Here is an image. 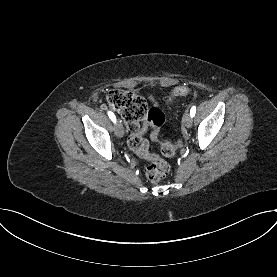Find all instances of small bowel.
Wrapping results in <instances>:
<instances>
[{
  "mask_svg": "<svg viewBox=\"0 0 277 277\" xmlns=\"http://www.w3.org/2000/svg\"><path fill=\"white\" fill-rule=\"evenodd\" d=\"M149 99H150V101L153 103V105L155 106L154 108H158V107H157V102H156V100H155L152 96H149ZM149 127H150V126H149L147 123H144V124L141 126L140 130H141L142 133H144V132L147 131V129H148Z\"/></svg>",
  "mask_w": 277,
  "mask_h": 277,
  "instance_id": "1",
  "label": "small bowel"
}]
</instances>
